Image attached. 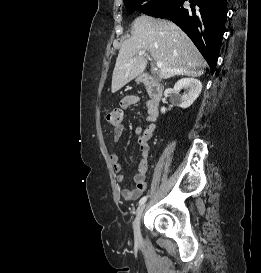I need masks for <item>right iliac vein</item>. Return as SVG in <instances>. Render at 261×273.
Listing matches in <instances>:
<instances>
[{
  "label": "right iliac vein",
  "instance_id": "right-iliac-vein-1",
  "mask_svg": "<svg viewBox=\"0 0 261 273\" xmlns=\"http://www.w3.org/2000/svg\"><path fill=\"white\" fill-rule=\"evenodd\" d=\"M145 207H146V205H143L138 209L136 217H135V219L133 221V231H134V236L136 238H139L140 234H141V232H140V222H141V218H142L143 212L145 210Z\"/></svg>",
  "mask_w": 261,
  "mask_h": 273
}]
</instances>
